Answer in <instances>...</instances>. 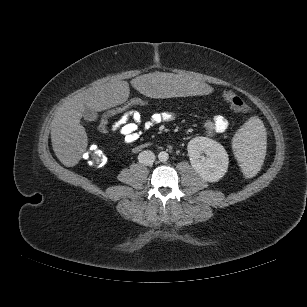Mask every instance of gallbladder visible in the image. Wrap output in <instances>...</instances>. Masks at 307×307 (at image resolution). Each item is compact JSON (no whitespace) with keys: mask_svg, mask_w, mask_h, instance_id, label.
Here are the masks:
<instances>
[{"mask_svg":"<svg viewBox=\"0 0 307 307\" xmlns=\"http://www.w3.org/2000/svg\"><path fill=\"white\" fill-rule=\"evenodd\" d=\"M83 117L88 121H94L97 119V113L90 108H85Z\"/></svg>","mask_w":307,"mask_h":307,"instance_id":"obj_1","label":"gallbladder"}]
</instances>
